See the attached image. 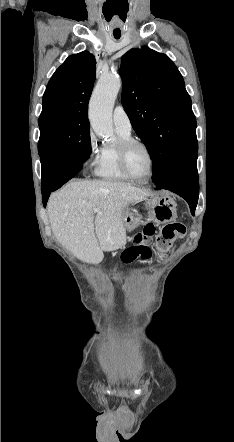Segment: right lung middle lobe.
<instances>
[{
    "mask_svg": "<svg viewBox=\"0 0 234 442\" xmlns=\"http://www.w3.org/2000/svg\"><path fill=\"white\" fill-rule=\"evenodd\" d=\"M40 138L38 153L40 158L68 152L81 162L90 154V125L87 117L74 115H53L39 118Z\"/></svg>",
    "mask_w": 234,
    "mask_h": 442,
    "instance_id": "obj_1",
    "label": "right lung middle lobe"
}]
</instances>
